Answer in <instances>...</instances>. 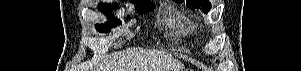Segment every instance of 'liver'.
<instances>
[{
    "mask_svg": "<svg viewBox=\"0 0 301 71\" xmlns=\"http://www.w3.org/2000/svg\"><path fill=\"white\" fill-rule=\"evenodd\" d=\"M183 68L181 62L168 54L141 50L113 59L95 71H181Z\"/></svg>",
    "mask_w": 301,
    "mask_h": 71,
    "instance_id": "1",
    "label": "liver"
}]
</instances>
